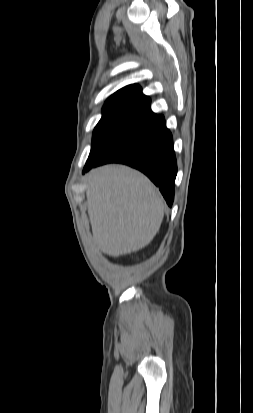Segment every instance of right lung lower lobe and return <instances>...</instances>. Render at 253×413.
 Returning a JSON list of instances; mask_svg holds the SVG:
<instances>
[{
	"label": "right lung lower lobe",
	"mask_w": 253,
	"mask_h": 413,
	"mask_svg": "<svg viewBox=\"0 0 253 413\" xmlns=\"http://www.w3.org/2000/svg\"><path fill=\"white\" fill-rule=\"evenodd\" d=\"M123 163L147 175L159 187L167 204L172 206L177 174L173 139L165 120L146 135L121 147L90 169L106 163Z\"/></svg>",
	"instance_id": "obj_1"
}]
</instances>
